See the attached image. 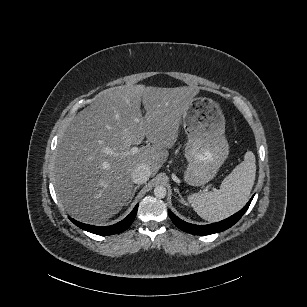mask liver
Listing matches in <instances>:
<instances>
[{
    "instance_id": "1",
    "label": "liver",
    "mask_w": 307,
    "mask_h": 307,
    "mask_svg": "<svg viewBox=\"0 0 307 307\" xmlns=\"http://www.w3.org/2000/svg\"><path fill=\"white\" fill-rule=\"evenodd\" d=\"M194 86H115L101 91L68 125L51 170L58 202L76 220L100 224L130 201L132 173L146 163L156 174L176 141L178 124ZM141 101L146 109L141 112ZM147 138L148 145L130 157H113L106 149L125 150ZM150 143L152 145H150Z\"/></svg>"
}]
</instances>
